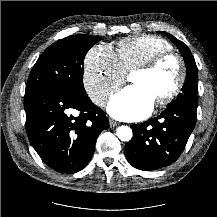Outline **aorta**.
Wrapping results in <instances>:
<instances>
[{
    "label": "aorta",
    "mask_w": 217,
    "mask_h": 217,
    "mask_svg": "<svg viewBox=\"0 0 217 217\" xmlns=\"http://www.w3.org/2000/svg\"><path fill=\"white\" fill-rule=\"evenodd\" d=\"M116 135L121 141H130L133 135L132 129L128 126H120L116 130Z\"/></svg>",
    "instance_id": "obj_1"
}]
</instances>
